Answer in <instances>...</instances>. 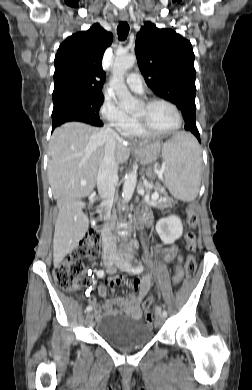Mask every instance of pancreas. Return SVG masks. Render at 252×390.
<instances>
[{"label":"pancreas","instance_id":"obj_1","mask_svg":"<svg viewBox=\"0 0 252 390\" xmlns=\"http://www.w3.org/2000/svg\"><path fill=\"white\" fill-rule=\"evenodd\" d=\"M157 203H158V206H157L158 209H165L168 207H172V205L175 203V201L172 198H170L169 202H157Z\"/></svg>","mask_w":252,"mask_h":390}]
</instances>
